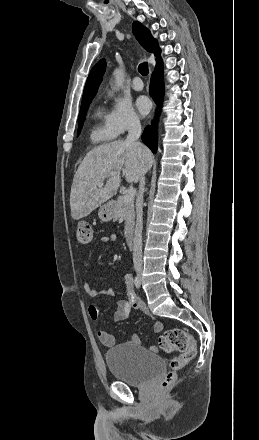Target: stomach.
<instances>
[{
  "mask_svg": "<svg viewBox=\"0 0 259 440\" xmlns=\"http://www.w3.org/2000/svg\"><path fill=\"white\" fill-rule=\"evenodd\" d=\"M114 211V204L109 202L100 207L98 216L102 222H109L114 218Z\"/></svg>",
  "mask_w": 259,
  "mask_h": 440,
  "instance_id": "stomach-1",
  "label": "stomach"
}]
</instances>
